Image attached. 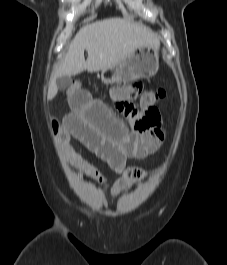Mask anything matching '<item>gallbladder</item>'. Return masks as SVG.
I'll return each instance as SVG.
<instances>
[{
  "mask_svg": "<svg viewBox=\"0 0 227 265\" xmlns=\"http://www.w3.org/2000/svg\"><path fill=\"white\" fill-rule=\"evenodd\" d=\"M71 84V77L70 76H61L56 79V85L59 90L67 89Z\"/></svg>",
  "mask_w": 227,
  "mask_h": 265,
  "instance_id": "gallbladder-1",
  "label": "gallbladder"
}]
</instances>
